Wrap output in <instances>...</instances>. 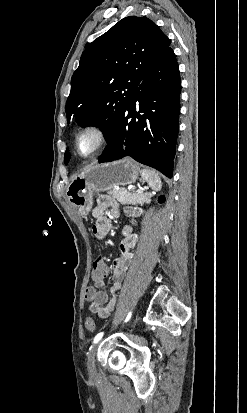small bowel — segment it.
Wrapping results in <instances>:
<instances>
[{
	"label": "small bowel",
	"mask_w": 247,
	"mask_h": 413,
	"mask_svg": "<svg viewBox=\"0 0 247 413\" xmlns=\"http://www.w3.org/2000/svg\"><path fill=\"white\" fill-rule=\"evenodd\" d=\"M108 211L110 217H118L120 213L118 203L109 195H99L97 204L92 210V216L96 220L93 232L101 238L106 236L111 228L110 218L106 216ZM123 234L124 237L120 244L121 256L115 259L111 266H108L113 275L110 294L102 290L105 285V277H96L93 280L95 287H88L85 290V300L89 302V311L103 319L108 318L114 309L116 293L121 289L125 273L133 258L132 248L135 247L139 239L137 234L132 233L129 226L124 229Z\"/></svg>",
	"instance_id": "obj_1"
}]
</instances>
